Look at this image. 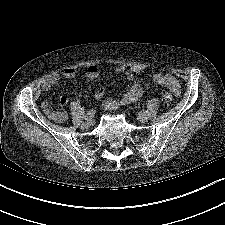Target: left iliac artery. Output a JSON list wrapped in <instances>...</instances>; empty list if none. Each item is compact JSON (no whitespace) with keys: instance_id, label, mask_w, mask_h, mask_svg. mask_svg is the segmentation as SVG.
<instances>
[{"instance_id":"1","label":"left iliac artery","mask_w":225,"mask_h":225,"mask_svg":"<svg viewBox=\"0 0 225 225\" xmlns=\"http://www.w3.org/2000/svg\"><path fill=\"white\" fill-rule=\"evenodd\" d=\"M140 113H141V115H143V116H144V115L148 114V113H149V111H148V109H146V108H145V109L141 110V112H140Z\"/></svg>"}]
</instances>
